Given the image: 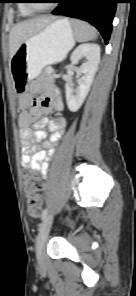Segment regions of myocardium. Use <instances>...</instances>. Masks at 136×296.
Listing matches in <instances>:
<instances>
[{"mask_svg":"<svg viewBox=\"0 0 136 296\" xmlns=\"http://www.w3.org/2000/svg\"><path fill=\"white\" fill-rule=\"evenodd\" d=\"M27 6L33 10V11H43L48 9L47 5H38L37 3H34L32 0H26Z\"/></svg>","mask_w":136,"mask_h":296,"instance_id":"1","label":"myocardium"}]
</instances>
